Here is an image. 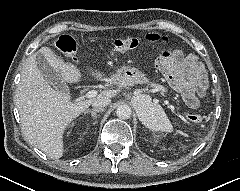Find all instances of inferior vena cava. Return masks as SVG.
Wrapping results in <instances>:
<instances>
[{"instance_id":"1","label":"inferior vena cava","mask_w":240,"mask_h":191,"mask_svg":"<svg viewBox=\"0 0 240 191\" xmlns=\"http://www.w3.org/2000/svg\"><path fill=\"white\" fill-rule=\"evenodd\" d=\"M111 103V100L108 98L97 99L92 102V106L95 110H104L106 106Z\"/></svg>"}]
</instances>
